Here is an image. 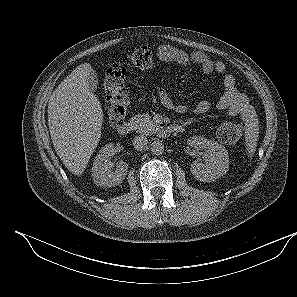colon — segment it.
<instances>
[{
  "mask_svg": "<svg viewBox=\"0 0 297 297\" xmlns=\"http://www.w3.org/2000/svg\"><path fill=\"white\" fill-rule=\"evenodd\" d=\"M154 66V55L147 46H141L127 54L123 63H114L106 71L104 89L107 100V119L112 127L120 125L126 115L128 90L127 67L150 70ZM243 134V126L237 122H223L215 129L217 139L225 144L236 143Z\"/></svg>",
  "mask_w": 297,
  "mask_h": 297,
  "instance_id": "5ec220e1",
  "label": "colon"
}]
</instances>
